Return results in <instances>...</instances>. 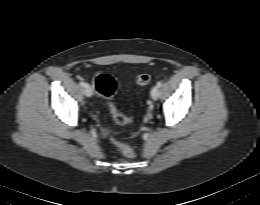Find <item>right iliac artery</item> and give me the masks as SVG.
<instances>
[{"label": "right iliac artery", "mask_w": 260, "mask_h": 205, "mask_svg": "<svg viewBox=\"0 0 260 205\" xmlns=\"http://www.w3.org/2000/svg\"><path fill=\"white\" fill-rule=\"evenodd\" d=\"M80 85H81L82 87H86V86H87V83L84 82V81H81V82H80Z\"/></svg>", "instance_id": "right-iliac-artery-1"}]
</instances>
